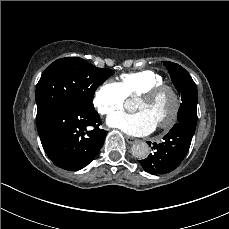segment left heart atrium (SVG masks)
<instances>
[{
	"instance_id": "left-heart-atrium-1",
	"label": "left heart atrium",
	"mask_w": 229,
	"mask_h": 229,
	"mask_svg": "<svg viewBox=\"0 0 229 229\" xmlns=\"http://www.w3.org/2000/svg\"><path fill=\"white\" fill-rule=\"evenodd\" d=\"M107 124L134 136L146 135L156 126L154 120L144 111L114 114L107 119Z\"/></svg>"
}]
</instances>
